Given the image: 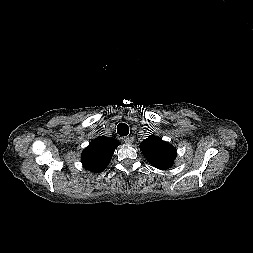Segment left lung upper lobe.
I'll use <instances>...</instances> for the list:
<instances>
[{
    "instance_id": "1",
    "label": "left lung upper lobe",
    "mask_w": 253,
    "mask_h": 253,
    "mask_svg": "<svg viewBox=\"0 0 253 253\" xmlns=\"http://www.w3.org/2000/svg\"><path fill=\"white\" fill-rule=\"evenodd\" d=\"M140 150L153 167L161 170L171 167L176 157V149L154 135L141 142Z\"/></svg>"
}]
</instances>
